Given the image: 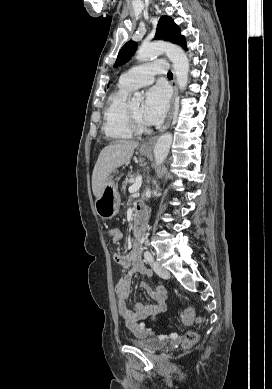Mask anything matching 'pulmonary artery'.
Listing matches in <instances>:
<instances>
[{
	"mask_svg": "<svg viewBox=\"0 0 272 389\" xmlns=\"http://www.w3.org/2000/svg\"><path fill=\"white\" fill-rule=\"evenodd\" d=\"M167 68L168 65L165 60L143 63L125 72L120 77L119 83L131 90L137 89L151 84L154 81V76L166 73Z\"/></svg>",
	"mask_w": 272,
	"mask_h": 389,
	"instance_id": "obj_1",
	"label": "pulmonary artery"
}]
</instances>
